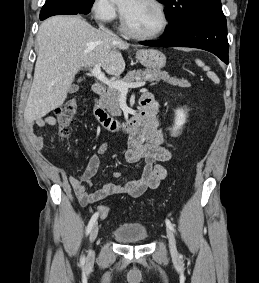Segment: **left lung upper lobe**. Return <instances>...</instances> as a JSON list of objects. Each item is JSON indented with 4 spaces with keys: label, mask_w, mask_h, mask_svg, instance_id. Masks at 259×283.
Wrapping results in <instances>:
<instances>
[{
    "label": "left lung upper lobe",
    "mask_w": 259,
    "mask_h": 283,
    "mask_svg": "<svg viewBox=\"0 0 259 283\" xmlns=\"http://www.w3.org/2000/svg\"><path fill=\"white\" fill-rule=\"evenodd\" d=\"M166 6L165 14L169 19L166 31L178 29L196 17L217 8H221V0H158Z\"/></svg>",
    "instance_id": "obj_1"
}]
</instances>
